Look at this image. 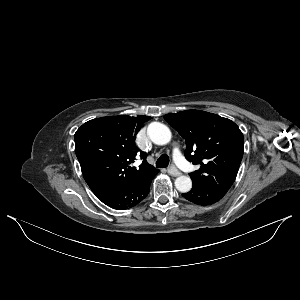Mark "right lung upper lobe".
Masks as SVG:
<instances>
[{"label":"right lung upper lobe","mask_w":300,"mask_h":300,"mask_svg":"<svg viewBox=\"0 0 300 300\" xmlns=\"http://www.w3.org/2000/svg\"><path fill=\"white\" fill-rule=\"evenodd\" d=\"M151 117L107 116L84 123L75 133V153L85 181L95 195L130 182H138L159 172L139 152L135 138L142 124ZM137 156L139 169L131 167Z\"/></svg>","instance_id":"1"}]
</instances>
